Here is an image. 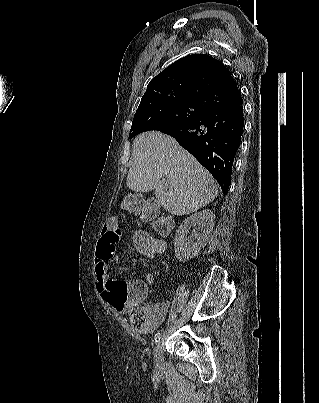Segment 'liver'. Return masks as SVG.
<instances>
[{"label":"liver","instance_id":"liver-1","mask_svg":"<svg viewBox=\"0 0 319 403\" xmlns=\"http://www.w3.org/2000/svg\"><path fill=\"white\" fill-rule=\"evenodd\" d=\"M132 149L128 188L134 192L154 190L169 213L187 215L216 198V181L173 137L158 131L143 132L133 141Z\"/></svg>","mask_w":319,"mask_h":403}]
</instances>
